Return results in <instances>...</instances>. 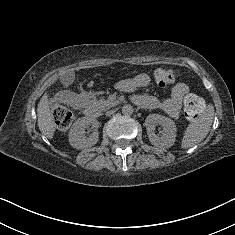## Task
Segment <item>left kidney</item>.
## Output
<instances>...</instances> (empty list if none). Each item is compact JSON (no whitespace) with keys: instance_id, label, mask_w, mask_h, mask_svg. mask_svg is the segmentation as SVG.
I'll return each instance as SVG.
<instances>
[{"instance_id":"5707ae66","label":"left kidney","mask_w":235,"mask_h":235,"mask_svg":"<svg viewBox=\"0 0 235 235\" xmlns=\"http://www.w3.org/2000/svg\"><path fill=\"white\" fill-rule=\"evenodd\" d=\"M144 125L147 129V135L152 145L163 149L174 145L177 128L173 120L160 114H149ZM157 125L162 126L160 135L155 133Z\"/></svg>"}]
</instances>
